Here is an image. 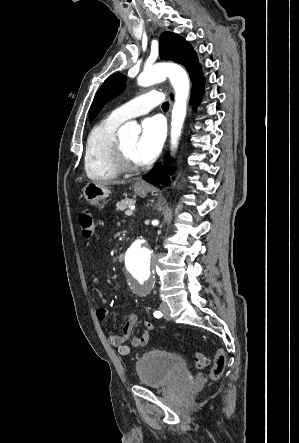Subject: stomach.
Wrapping results in <instances>:
<instances>
[{"label":"stomach","mask_w":299,"mask_h":443,"mask_svg":"<svg viewBox=\"0 0 299 443\" xmlns=\"http://www.w3.org/2000/svg\"><path fill=\"white\" fill-rule=\"evenodd\" d=\"M149 190V186H139L137 184L134 185V192L141 197H145ZM110 193L111 192L107 186L98 185L95 183H88L83 189V197L85 200L89 204L96 206L99 209L104 208Z\"/></svg>","instance_id":"0dacf381"}]
</instances>
